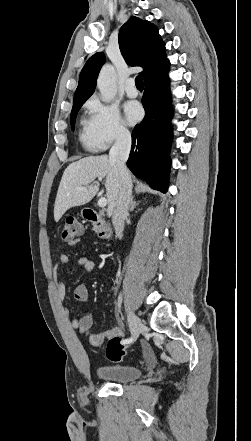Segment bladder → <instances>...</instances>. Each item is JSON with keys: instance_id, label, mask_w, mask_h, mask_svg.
I'll list each match as a JSON object with an SVG mask.
<instances>
[{"instance_id": "1", "label": "bladder", "mask_w": 251, "mask_h": 441, "mask_svg": "<svg viewBox=\"0 0 251 441\" xmlns=\"http://www.w3.org/2000/svg\"><path fill=\"white\" fill-rule=\"evenodd\" d=\"M97 376L109 382L127 383L138 379L142 371L133 366L126 365H105L96 369Z\"/></svg>"}]
</instances>
